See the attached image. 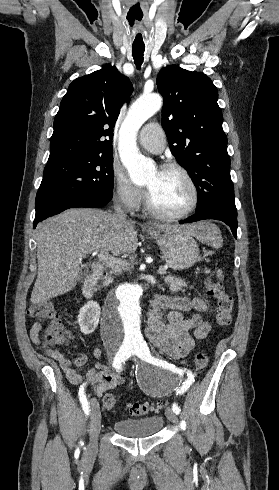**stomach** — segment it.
Returning a JSON list of instances; mask_svg holds the SVG:
<instances>
[{
  "label": "stomach",
  "instance_id": "0dacf381",
  "mask_svg": "<svg viewBox=\"0 0 279 490\" xmlns=\"http://www.w3.org/2000/svg\"><path fill=\"white\" fill-rule=\"evenodd\" d=\"M149 234L158 242L162 258L171 270H188L200 262L199 248L190 234L178 230L155 232L154 228L149 230Z\"/></svg>",
  "mask_w": 279,
  "mask_h": 490
}]
</instances>
